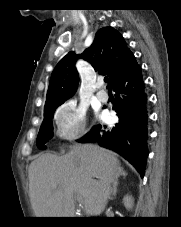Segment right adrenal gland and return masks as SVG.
I'll return each mask as SVG.
<instances>
[{
  "instance_id": "1",
  "label": "right adrenal gland",
  "mask_w": 181,
  "mask_h": 227,
  "mask_svg": "<svg viewBox=\"0 0 181 227\" xmlns=\"http://www.w3.org/2000/svg\"><path fill=\"white\" fill-rule=\"evenodd\" d=\"M123 176L124 178L127 176V173L123 170V168L119 169V175L115 178V180L112 182V188H111V193L112 196L109 197L110 200H113L116 196L117 193V186H118V177Z\"/></svg>"
}]
</instances>
